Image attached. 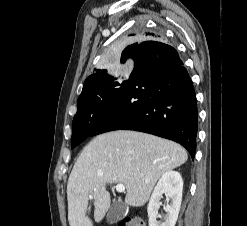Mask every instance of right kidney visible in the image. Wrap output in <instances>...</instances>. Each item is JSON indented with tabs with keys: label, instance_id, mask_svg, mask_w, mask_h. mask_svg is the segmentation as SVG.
<instances>
[{
	"label": "right kidney",
	"instance_id": "right-kidney-1",
	"mask_svg": "<svg viewBox=\"0 0 247 226\" xmlns=\"http://www.w3.org/2000/svg\"><path fill=\"white\" fill-rule=\"evenodd\" d=\"M183 180L179 172L169 171L162 175L149 200L147 212L149 226H175L182 201ZM163 193L171 200L165 211L164 221H157L160 199Z\"/></svg>",
	"mask_w": 247,
	"mask_h": 226
}]
</instances>
